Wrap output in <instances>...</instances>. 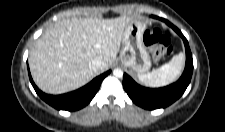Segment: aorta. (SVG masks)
I'll return each mask as SVG.
<instances>
[{"mask_svg":"<svg viewBox=\"0 0 225 132\" xmlns=\"http://www.w3.org/2000/svg\"><path fill=\"white\" fill-rule=\"evenodd\" d=\"M113 74H114V76H116V77H122L123 76V71L121 70V69H115L114 71H113Z\"/></svg>","mask_w":225,"mask_h":132,"instance_id":"aorta-1","label":"aorta"}]
</instances>
